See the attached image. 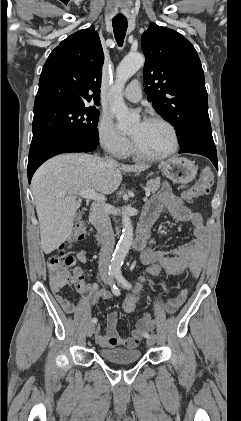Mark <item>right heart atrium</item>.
Returning a JSON list of instances; mask_svg holds the SVG:
<instances>
[{"instance_id":"1","label":"right heart atrium","mask_w":241,"mask_h":421,"mask_svg":"<svg viewBox=\"0 0 241 421\" xmlns=\"http://www.w3.org/2000/svg\"><path fill=\"white\" fill-rule=\"evenodd\" d=\"M100 144L117 157L124 156L129 149L128 138L115 126L110 116L103 114L97 125Z\"/></svg>"}]
</instances>
